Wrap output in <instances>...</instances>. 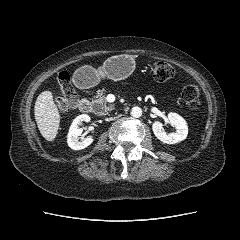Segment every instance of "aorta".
I'll list each match as a JSON object with an SVG mask.
<instances>
[{
	"label": "aorta",
	"instance_id": "aorta-1",
	"mask_svg": "<svg viewBox=\"0 0 240 240\" xmlns=\"http://www.w3.org/2000/svg\"><path fill=\"white\" fill-rule=\"evenodd\" d=\"M131 115L135 118H139L142 115V109L140 107H133L131 109Z\"/></svg>",
	"mask_w": 240,
	"mask_h": 240
}]
</instances>
